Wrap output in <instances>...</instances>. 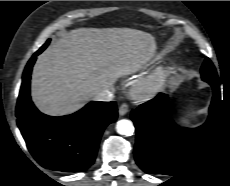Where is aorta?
Listing matches in <instances>:
<instances>
[{"label": "aorta", "instance_id": "762f6f07", "mask_svg": "<svg viewBox=\"0 0 230 186\" xmlns=\"http://www.w3.org/2000/svg\"><path fill=\"white\" fill-rule=\"evenodd\" d=\"M116 131L120 135L131 136L134 133V126L130 120L122 119L116 124Z\"/></svg>", "mask_w": 230, "mask_h": 186}]
</instances>
